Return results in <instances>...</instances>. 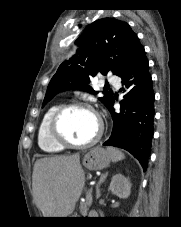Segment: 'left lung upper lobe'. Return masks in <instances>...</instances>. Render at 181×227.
<instances>
[{
    "mask_svg": "<svg viewBox=\"0 0 181 227\" xmlns=\"http://www.w3.org/2000/svg\"><path fill=\"white\" fill-rule=\"evenodd\" d=\"M140 43L130 26L114 18H103L90 24L76 40L78 49L68 61H64L52 77L43 106L57 93L67 89H82L97 94L88 86L90 77L109 71L119 76L135 46ZM108 108L113 92H104L99 98Z\"/></svg>",
    "mask_w": 181,
    "mask_h": 227,
    "instance_id": "left-lung-upper-lobe-1",
    "label": "left lung upper lobe"
}]
</instances>
